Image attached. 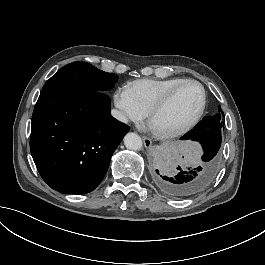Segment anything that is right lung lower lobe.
<instances>
[{
  "instance_id": "obj_1",
  "label": "right lung lower lobe",
  "mask_w": 265,
  "mask_h": 265,
  "mask_svg": "<svg viewBox=\"0 0 265 265\" xmlns=\"http://www.w3.org/2000/svg\"><path fill=\"white\" fill-rule=\"evenodd\" d=\"M98 91H42L32 115L30 150L43 180L64 194H85L105 176L129 127L110 115Z\"/></svg>"
}]
</instances>
